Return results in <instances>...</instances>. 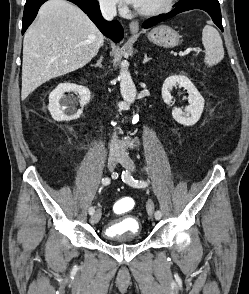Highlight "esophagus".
I'll use <instances>...</instances> for the list:
<instances>
[{
	"label": "esophagus",
	"instance_id": "esophagus-1",
	"mask_svg": "<svg viewBox=\"0 0 249 294\" xmlns=\"http://www.w3.org/2000/svg\"><path fill=\"white\" fill-rule=\"evenodd\" d=\"M129 29H130V32L133 33V34L138 33V31H139V22L138 21H132L129 24Z\"/></svg>",
	"mask_w": 249,
	"mask_h": 294
}]
</instances>
